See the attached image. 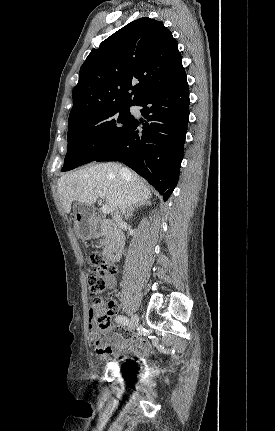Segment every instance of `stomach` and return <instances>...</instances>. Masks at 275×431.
<instances>
[{
    "label": "stomach",
    "mask_w": 275,
    "mask_h": 431,
    "mask_svg": "<svg viewBox=\"0 0 275 431\" xmlns=\"http://www.w3.org/2000/svg\"><path fill=\"white\" fill-rule=\"evenodd\" d=\"M73 212L76 234L82 239L91 238L95 232L92 208L77 202L73 205Z\"/></svg>",
    "instance_id": "obj_1"
}]
</instances>
